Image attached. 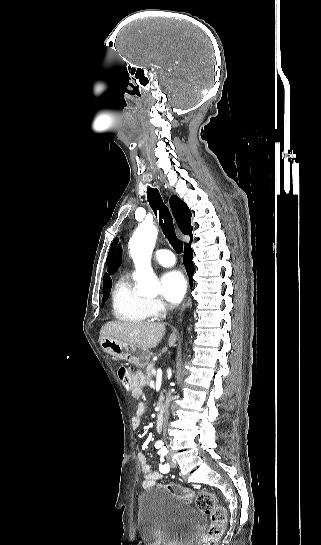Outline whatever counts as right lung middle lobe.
Returning <instances> with one entry per match:
<instances>
[{
    "label": "right lung middle lobe",
    "mask_w": 321,
    "mask_h": 545,
    "mask_svg": "<svg viewBox=\"0 0 321 545\" xmlns=\"http://www.w3.org/2000/svg\"><path fill=\"white\" fill-rule=\"evenodd\" d=\"M111 287L110 288H106V289H103V299H102V305L104 304V302L106 301L107 297H108V293L110 291Z\"/></svg>",
    "instance_id": "1"
}]
</instances>
